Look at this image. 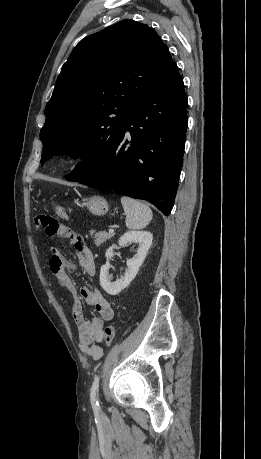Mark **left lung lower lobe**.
<instances>
[{
	"label": "left lung lower lobe",
	"mask_w": 261,
	"mask_h": 459,
	"mask_svg": "<svg viewBox=\"0 0 261 459\" xmlns=\"http://www.w3.org/2000/svg\"><path fill=\"white\" fill-rule=\"evenodd\" d=\"M187 103L175 63L132 111L100 166L93 172L72 171L67 180L150 201L168 216L183 164Z\"/></svg>",
	"instance_id": "left-lung-lower-lobe-1"
}]
</instances>
